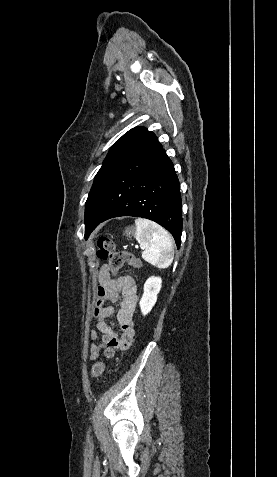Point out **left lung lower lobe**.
<instances>
[{"mask_svg": "<svg viewBox=\"0 0 277 477\" xmlns=\"http://www.w3.org/2000/svg\"><path fill=\"white\" fill-rule=\"evenodd\" d=\"M136 216L157 222L180 247L182 212L179 181L173 163L154 137L110 177L94 212L85 223V238L105 220Z\"/></svg>", "mask_w": 277, "mask_h": 477, "instance_id": "0a47b994", "label": "left lung lower lobe"}]
</instances>
